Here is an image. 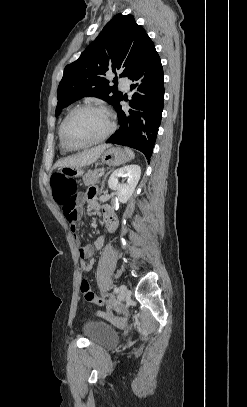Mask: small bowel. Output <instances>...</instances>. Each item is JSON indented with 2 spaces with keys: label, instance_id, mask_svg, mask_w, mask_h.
Segmentation results:
<instances>
[{
  "label": "small bowel",
  "instance_id": "1",
  "mask_svg": "<svg viewBox=\"0 0 247 407\" xmlns=\"http://www.w3.org/2000/svg\"><path fill=\"white\" fill-rule=\"evenodd\" d=\"M96 190L90 188L86 193L77 194L70 198L68 201L59 203L62 208V213L74 235L77 238V223L83 212V204L88 201L92 207H96L95 200ZM103 220L110 232H114L117 229L118 222L114 210L110 206L102 207ZM97 249H101L104 245V238L98 237L94 243ZM93 248L90 244H83L79 248V256L81 259V268L84 272H89L94 265V260L89 259L92 255Z\"/></svg>",
  "mask_w": 247,
  "mask_h": 407
}]
</instances>
